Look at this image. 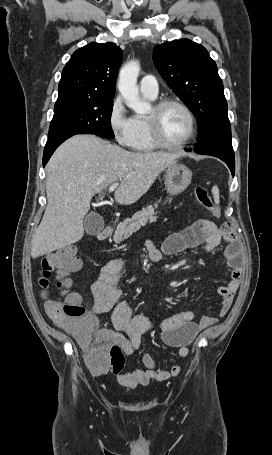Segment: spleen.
I'll list each match as a JSON object with an SVG mask.
<instances>
[{
    "label": "spleen",
    "mask_w": 272,
    "mask_h": 455,
    "mask_svg": "<svg viewBox=\"0 0 272 455\" xmlns=\"http://www.w3.org/2000/svg\"><path fill=\"white\" fill-rule=\"evenodd\" d=\"M212 194H213L215 203L218 204L219 203V189L216 185L213 186V188H212Z\"/></svg>",
    "instance_id": "1"
}]
</instances>
